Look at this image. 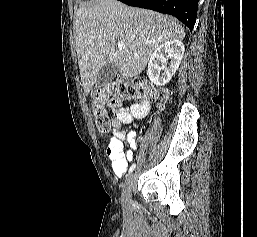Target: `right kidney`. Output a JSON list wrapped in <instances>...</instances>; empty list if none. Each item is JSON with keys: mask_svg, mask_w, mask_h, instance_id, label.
<instances>
[{"mask_svg": "<svg viewBox=\"0 0 257 237\" xmlns=\"http://www.w3.org/2000/svg\"><path fill=\"white\" fill-rule=\"evenodd\" d=\"M185 51L179 40H170L159 45L150 56L147 75L158 86L167 84L178 69Z\"/></svg>", "mask_w": 257, "mask_h": 237, "instance_id": "1", "label": "right kidney"}]
</instances>
